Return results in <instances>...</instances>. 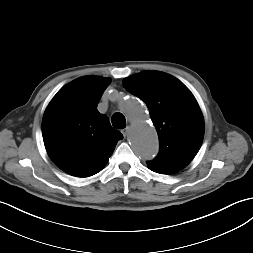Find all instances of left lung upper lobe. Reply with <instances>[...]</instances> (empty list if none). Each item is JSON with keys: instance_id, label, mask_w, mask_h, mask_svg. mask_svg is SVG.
<instances>
[{"instance_id": "obj_1", "label": "left lung upper lobe", "mask_w": 253, "mask_h": 253, "mask_svg": "<svg viewBox=\"0 0 253 253\" xmlns=\"http://www.w3.org/2000/svg\"><path fill=\"white\" fill-rule=\"evenodd\" d=\"M124 88L142 99L159 137V153L148 166L170 173L183 169L197 154L204 119L190 90L175 77L143 71L123 80Z\"/></svg>"}]
</instances>
